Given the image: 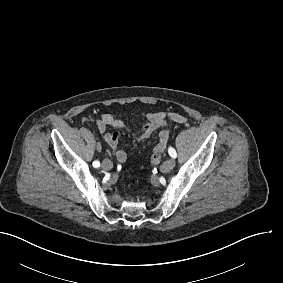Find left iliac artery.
<instances>
[{
  "instance_id": "1",
  "label": "left iliac artery",
  "mask_w": 283,
  "mask_h": 283,
  "mask_svg": "<svg viewBox=\"0 0 283 283\" xmlns=\"http://www.w3.org/2000/svg\"><path fill=\"white\" fill-rule=\"evenodd\" d=\"M168 153H169V155H170L172 158H176V157H177V153H176L175 149L172 148V147H169V148H168Z\"/></svg>"
}]
</instances>
